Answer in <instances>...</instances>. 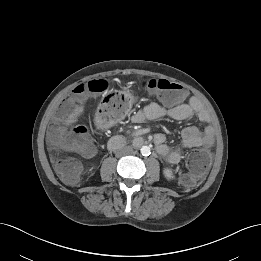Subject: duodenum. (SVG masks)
Instances as JSON below:
<instances>
[{
	"label": "duodenum",
	"instance_id": "duodenum-1",
	"mask_svg": "<svg viewBox=\"0 0 261 261\" xmlns=\"http://www.w3.org/2000/svg\"><path fill=\"white\" fill-rule=\"evenodd\" d=\"M145 142H146L145 139L142 137H135L133 139V144L135 146L144 145ZM125 144H126L125 138L123 136H119V135L112 137L108 142V146L110 149H119V148L125 146Z\"/></svg>",
	"mask_w": 261,
	"mask_h": 261
}]
</instances>
